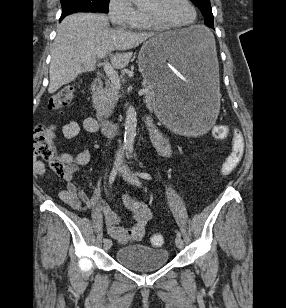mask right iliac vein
Returning a JSON list of instances; mask_svg holds the SVG:
<instances>
[{
  "instance_id": "right-iliac-vein-1",
  "label": "right iliac vein",
  "mask_w": 286,
  "mask_h": 308,
  "mask_svg": "<svg viewBox=\"0 0 286 308\" xmlns=\"http://www.w3.org/2000/svg\"><path fill=\"white\" fill-rule=\"evenodd\" d=\"M112 246V241L110 239H108L105 243H104V249L105 250H109Z\"/></svg>"
}]
</instances>
